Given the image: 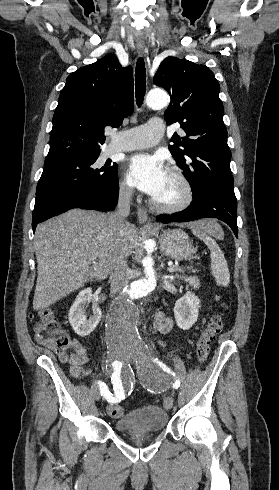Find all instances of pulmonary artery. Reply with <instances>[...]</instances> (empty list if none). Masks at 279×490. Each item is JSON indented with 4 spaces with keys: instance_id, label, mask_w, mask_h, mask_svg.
Listing matches in <instances>:
<instances>
[{
    "instance_id": "pulmonary-artery-1",
    "label": "pulmonary artery",
    "mask_w": 279,
    "mask_h": 490,
    "mask_svg": "<svg viewBox=\"0 0 279 490\" xmlns=\"http://www.w3.org/2000/svg\"><path fill=\"white\" fill-rule=\"evenodd\" d=\"M146 125L135 128H113L112 145L117 152L133 151L155 145L166 125L160 117H147Z\"/></svg>"
}]
</instances>
